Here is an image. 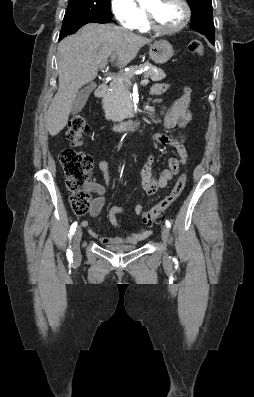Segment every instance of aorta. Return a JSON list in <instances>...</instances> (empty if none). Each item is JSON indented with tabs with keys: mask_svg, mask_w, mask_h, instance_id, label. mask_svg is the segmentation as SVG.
Listing matches in <instances>:
<instances>
[{
	"mask_svg": "<svg viewBox=\"0 0 254 397\" xmlns=\"http://www.w3.org/2000/svg\"><path fill=\"white\" fill-rule=\"evenodd\" d=\"M139 3H143L144 1H146V0H137Z\"/></svg>",
	"mask_w": 254,
	"mask_h": 397,
	"instance_id": "aorta-1",
	"label": "aorta"
}]
</instances>
